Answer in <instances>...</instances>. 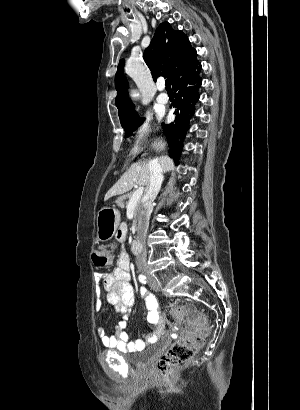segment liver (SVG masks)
Instances as JSON below:
<instances>
[{"mask_svg": "<svg viewBox=\"0 0 300 410\" xmlns=\"http://www.w3.org/2000/svg\"><path fill=\"white\" fill-rule=\"evenodd\" d=\"M152 146L156 150H164L166 142L162 139L156 140ZM162 166L163 171H171L175 169L172 159L168 156H161L155 159ZM149 162L134 163L131 167L121 176V178L114 184V186L106 193L104 200H108L112 196L120 195L130 191L135 185L148 186L149 184Z\"/></svg>", "mask_w": 300, "mask_h": 410, "instance_id": "liver-1", "label": "liver"}]
</instances>
